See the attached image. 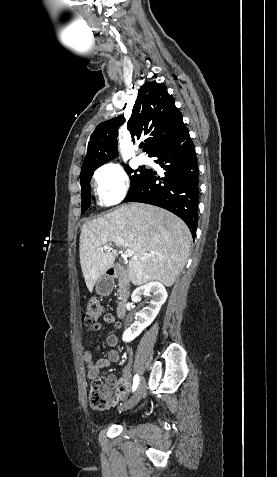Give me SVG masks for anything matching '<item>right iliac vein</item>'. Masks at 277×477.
Returning a JSON list of instances; mask_svg holds the SVG:
<instances>
[{
	"mask_svg": "<svg viewBox=\"0 0 277 477\" xmlns=\"http://www.w3.org/2000/svg\"><path fill=\"white\" fill-rule=\"evenodd\" d=\"M145 380L142 379L139 383V386L133 396L126 401L123 405L120 406V410H128L134 407L142 398L145 393Z\"/></svg>",
	"mask_w": 277,
	"mask_h": 477,
	"instance_id": "right-iliac-vein-1",
	"label": "right iliac vein"
}]
</instances>
